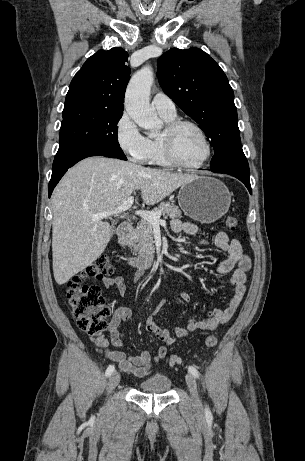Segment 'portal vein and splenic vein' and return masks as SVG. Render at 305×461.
<instances>
[{"instance_id": "obj_1", "label": "portal vein and splenic vein", "mask_w": 305, "mask_h": 461, "mask_svg": "<svg viewBox=\"0 0 305 461\" xmlns=\"http://www.w3.org/2000/svg\"><path fill=\"white\" fill-rule=\"evenodd\" d=\"M134 202V197L130 196L121 206L117 207L113 211H108V212H102L98 214H93L90 215L91 220L93 221H98L113 215L120 214L128 209H130L133 205ZM136 215L140 216L142 219L147 220L151 222L152 224H160L161 222V212H152V211H146V210H137L135 212Z\"/></svg>"}]
</instances>
